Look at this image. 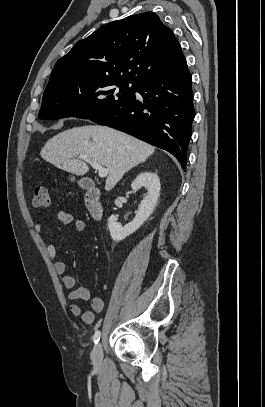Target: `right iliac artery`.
I'll return each instance as SVG.
<instances>
[{
	"mask_svg": "<svg viewBox=\"0 0 265 407\" xmlns=\"http://www.w3.org/2000/svg\"><path fill=\"white\" fill-rule=\"evenodd\" d=\"M100 336H101V332H100L99 330H97V331L95 332V334H94V337H93L95 344H97V343L99 342Z\"/></svg>",
	"mask_w": 265,
	"mask_h": 407,
	"instance_id": "82829eb1",
	"label": "right iliac artery"
}]
</instances>
